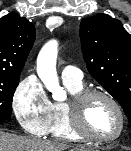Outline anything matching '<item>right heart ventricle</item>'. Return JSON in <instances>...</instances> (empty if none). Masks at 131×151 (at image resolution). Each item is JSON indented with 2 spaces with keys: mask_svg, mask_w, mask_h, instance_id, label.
<instances>
[{
  "mask_svg": "<svg viewBox=\"0 0 131 151\" xmlns=\"http://www.w3.org/2000/svg\"><path fill=\"white\" fill-rule=\"evenodd\" d=\"M63 82L71 95L84 89L82 81ZM46 134L52 138L63 141H79L82 139L74 132L71 126L67 102L56 101L51 103V119Z\"/></svg>",
  "mask_w": 131,
  "mask_h": 151,
  "instance_id": "obj_1",
  "label": "right heart ventricle"
}]
</instances>
